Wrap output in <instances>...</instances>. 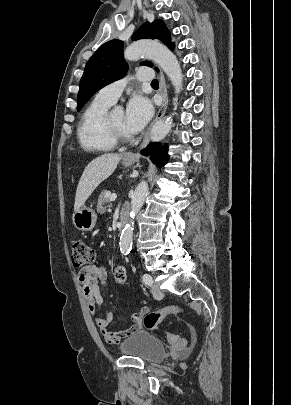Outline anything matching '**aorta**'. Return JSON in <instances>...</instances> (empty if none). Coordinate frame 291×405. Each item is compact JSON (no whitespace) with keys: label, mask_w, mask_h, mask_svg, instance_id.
Instances as JSON below:
<instances>
[{"label":"aorta","mask_w":291,"mask_h":405,"mask_svg":"<svg viewBox=\"0 0 291 405\" xmlns=\"http://www.w3.org/2000/svg\"><path fill=\"white\" fill-rule=\"evenodd\" d=\"M145 56L157 63L169 77L174 86L175 93L182 90L183 75L176 56L163 44L153 40H138L129 45L124 51L128 61H135ZM172 127L171 117L156 122L150 133L154 142L163 140ZM148 194V183L141 181L136 187L131 200L130 219L125 224L120 237V251L127 255L132 248L134 218L142 208Z\"/></svg>","instance_id":"obj_1"}]
</instances>
